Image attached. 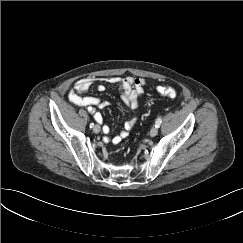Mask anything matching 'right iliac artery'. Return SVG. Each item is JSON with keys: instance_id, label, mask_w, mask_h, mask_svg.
<instances>
[{"instance_id": "right-iliac-artery-1", "label": "right iliac artery", "mask_w": 243, "mask_h": 243, "mask_svg": "<svg viewBox=\"0 0 243 243\" xmlns=\"http://www.w3.org/2000/svg\"><path fill=\"white\" fill-rule=\"evenodd\" d=\"M90 128H93L94 127V123H90Z\"/></svg>"}]
</instances>
